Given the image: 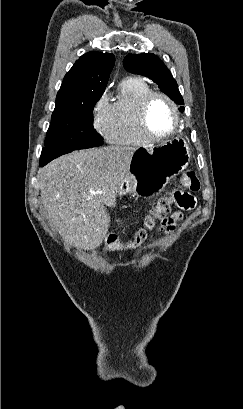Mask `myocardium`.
Listing matches in <instances>:
<instances>
[{"instance_id":"myocardium-1","label":"myocardium","mask_w":243,"mask_h":409,"mask_svg":"<svg viewBox=\"0 0 243 409\" xmlns=\"http://www.w3.org/2000/svg\"><path fill=\"white\" fill-rule=\"evenodd\" d=\"M157 97L164 99L171 106L175 117L174 129L165 135H157L153 133L148 122L150 104L152 100ZM138 119L142 132L150 141H162L173 137L178 132L181 125V117L177 104L170 96L160 91H150L142 98L138 109Z\"/></svg>"}]
</instances>
